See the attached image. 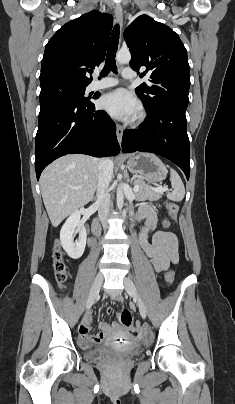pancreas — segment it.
Here are the masks:
<instances>
[{
	"label": "pancreas",
	"mask_w": 235,
	"mask_h": 404,
	"mask_svg": "<svg viewBox=\"0 0 235 404\" xmlns=\"http://www.w3.org/2000/svg\"><path fill=\"white\" fill-rule=\"evenodd\" d=\"M133 185L139 186V190L138 192H136V197L140 201L144 200L156 201L162 197L161 192L153 191L152 188L148 184H146L145 181L142 179H135L133 181Z\"/></svg>",
	"instance_id": "pancreas-1"
}]
</instances>
